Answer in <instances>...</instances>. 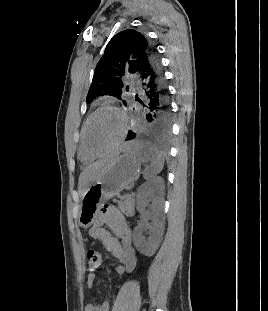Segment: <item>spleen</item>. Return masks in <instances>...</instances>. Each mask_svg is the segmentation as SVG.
<instances>
[{
    "mask_svg": "<svg viewBox=\"0 0 268 311\" xmlns=\"http://www.w3.org/2000/svg\"><path fill=\"white\" fill-rule=\"evenodd\" d=\"M130 145L132 147H139L140 141L132 140L130 142ZM142 161L144 162L151 161L150 166L147 167L144 171V178L147 180L152 179L157 174H159L164 166V158L162 153L158 149L152 147L151 145L147 146V154L144 158H142Z\"/></svg>",
    "mask_w": 268,
    "mask_h": 311,
    "instance_id": "3e777b00",
    "label": "spleen"
}]
</instances>
